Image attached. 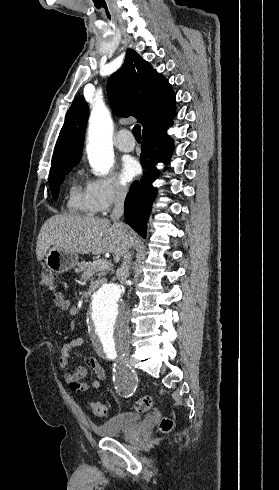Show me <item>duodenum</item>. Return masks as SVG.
Instances as JSON below:
<instances>
[{"label": "duodenum", "instance_id": "obj_1", "mask_svg": "<svg viewBox=\"0 0 279 490\" xmlns=\"http://www.w3.org/2000/svg\"><path fill=\"white\" fill-rule=\"evenodd\" d=\"M103 284V281L102 280H95L91 283V285L89 286L87 292H86V295L87 296H90L93 292H95L98 288H100Z\"/></svg>", "mask_w": 279, "mask_h": 490}]
</instances>
